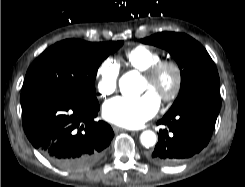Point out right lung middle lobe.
Returning <instances> with one entry per match:
<instances>
[{
  "mask_svg": "<svg viewBox=\"0 0 245 187\" xmlns=\"http://www.w3.org/2000/svg\"><path fill=\"white\" fill-rule=\"evenodd\" d=\"M122 41L89 43L68 39L44 51L29 67L21 101L43 94H61L98 105L95 78L99 65Z\"/></svg>",
  "mask_w": 245,
  "mask_h": 187,
  "instance_id": "1",
  "label": "right lung middle lobe"
}]
</instances>
